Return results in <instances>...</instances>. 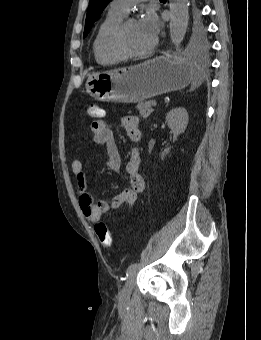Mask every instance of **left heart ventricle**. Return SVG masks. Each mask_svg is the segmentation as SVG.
I'll return each mask as SVG.
<instances>
[{
  "instance_id": "1",
  "label": "left heart ventricle",
  "mask_w": 261,
  "mask_h": 340,
  "mask_svg": "<svg viewBox=\"0 0 261 340\" xmlns=\"http://www.w3.org/2000/svg\"><path fill=\"white\" fill-rule=\"evenodd\" d=\"M153 39V37L143 30L139 22H135L125 29L121 44L127 51L137 52L147 48Z\"/></svg>"
}]
</instances>
